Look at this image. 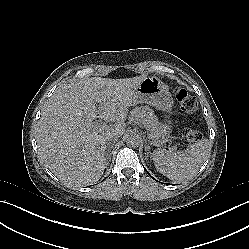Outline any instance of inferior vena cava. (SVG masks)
<instances>
[{
  "label": "inferior vena cava",
  "mask_w": 249,
  "mask_h": 249,
  "mask_svg": "<svg viewBox=\"0 0 249 249\" xmlns=\"http://www.w3.org/2000/svg\"><path fill=\"white\" fill-rule=\"evenodd\" d=\"M119 135H118V133H111V134H108V135H106L105 137H104V141L106 142V143H108V142H110V141H116V140H118L119 139Z\"/></svg>",
  "instance_id": "1"
}]
</instances>
